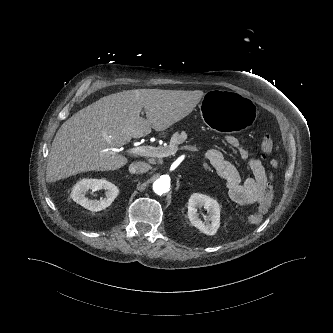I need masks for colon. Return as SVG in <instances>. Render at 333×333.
Returning <instances> with one entry per match:
<instances>
[{
    "label": "colon",
    "mask_w": 333,
    "mask_h": 333,
    "mask_svg": "<svg viewBox=\"0 0 333 333\" xmlns=\"http://www.w3.org/2000/svg\"><path fill=\"white\" fill-rule=\"evenodd\" d=\"M273 150V137L270 133H265L260 142V151L262 157L266 158ZM273 200V191L270 189L264 199L260 207L257 211L252 213L249 216V222L252 224H259L263 220L264 214L268 211V209L271 207Z\"/></svg>",
    "instance_id": "1"
}]
</instances>
